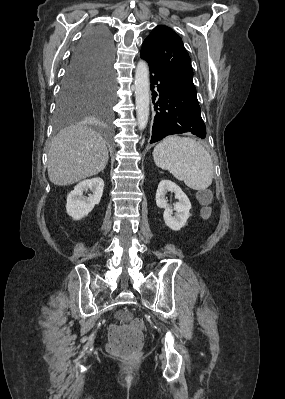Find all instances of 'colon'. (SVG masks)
Wrapping results in <instances>:
<instances>
[{"label":"colon","instance_id":"obj_1","mask_svg":"<svg viewBox=\"0 0 285 399\" xmlns=\"http://www.w3.org/2000/svg\"><path fill=\"white\" fill-rule=\"evenodd\" d=\"M205 200L206 198L203 197ZM143 344V326L137 320H128L114 326L108 336V350L119 356L136 355Z\"/></svg>","mask_w":285,"mask_h":399}]
</instances>
